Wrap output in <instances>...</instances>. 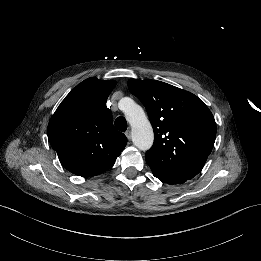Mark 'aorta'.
<instances>
[{"instance_id":"obj_1","label":"aorta","mask_w":261,"mask_h":261,"mask_svg":"<svg viewBox=\"0 0 261 261\" xmlns=\"http://www.w3.org/2000/svg\"><path fill=\"white\" fill-rule=\"evenodd\" d=\"M121 110L131 126L133 144L142 151L150 149L154 141V132L143 108L131 98L125 97L121 100Z\"/></svg>"}]
</instances>
